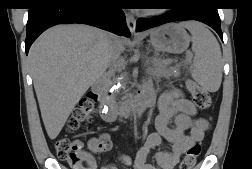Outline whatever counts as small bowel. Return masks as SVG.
I'll return each instance as SVG.
<instances>
[{
    "instance_id": "c3829d8e",
    "label": "small bowel",
    "mask_w": 252,
    "mask_h": 169,
    "mask_svg": "<svg viewBox=\"0 0 252 169\" xmlns=\"http://www.w3.org/2000/svg\"><path fill=\"white\" fill-rule=\"evenodd\" d=\"M154 95L155 92L152 87H147L142 92V96L154 98ZM158 108L159 114L155 120L156 132L150 134L138 150L134 169H156L148 164L146 159L149 152L162 141L171 143L172 150L157 152L155 155L156 162L163 169H172L186 150L203 139L204 133L208 129V122L196 117V107L179 90L163 93L158 99ZM172 120H174V127L169 126ZM87 145L89 151L82 149L80 152L82 160L87 163V167H82V169H97L93 153L109 151L113 145L112 137L109 133L103 132L91 137ZM117 161L126 166L131 164L130 157L126 155H119ZM100 169H118V167L116 164L110 163Z\"/></svg>"
}]
</instances>
